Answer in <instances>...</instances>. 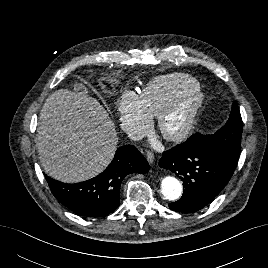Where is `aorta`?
<instances>
[{
  "label": "aorta",
  "instance_id": "762f6f07",
  "mask_svg": "<svg viewBox=\"0 0 268 268\" xmlns=\"http://www.w3.org/2000/svg\"><path fill=\"white\" fill-rule=\"evenodd\" d=\"M182 184L173 176H165L161 181V192L167 200H177L182 194Z\"/></svg>",
  "mask_w": 268,
  "mask_h": 268
}]
</instances>
